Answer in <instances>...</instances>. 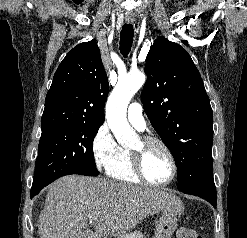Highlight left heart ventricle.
<instances>
[{
    "mask_svg": "<svg viewBox=\"0 0 247 238\" xmlns=\"http://www.w3.org/2000/svg\"><path fill=\"white\" fill-rule=\"evenodd\" d=\"M140 147L139 139L132 149ZM143 169L146 176L154 182L167 180L171 175V163L165 151L156 144L143 149Z\"/></svg>",
    "mask_w": 247,
    "mask_h": 238,
    "instance_id": "obj_1",
    "label": "left heart ventricle"
}]
</instances>
